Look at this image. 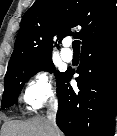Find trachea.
<instances>
[{
  "instance_id": "trachea-1",
  "label": "trachea",
  "mask_w": 117,
  "mask_h": 136,
  "mask_svg": "<svg viewBox=\"0 0 117 136\" xmlns=\"http://www.w3.org/2000/svg\"><path fill=\"white\" fill-rule=\"evenodd\" d=\"M72 47L74 51H80V41L79 40L73 41Z\"/></svg>"
}]
</instances>
